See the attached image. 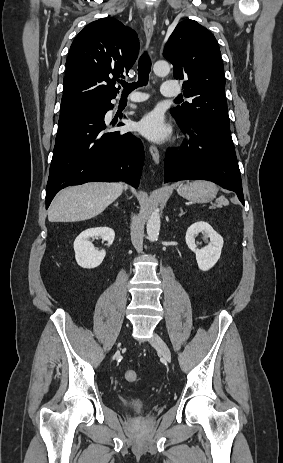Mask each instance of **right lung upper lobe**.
<instances>
[{
	"mask_svg": "<svg viewBox=\"0 0 283 463\" xmlns=\"http://www.w3.org/2000/svg\"><path fill=\"white\" fill-rule=\"evenodd\" d=\"M138 52L137 34L117 19L106 17L88 24L70 47L61 114L115 98L119 92L115 80L128 75Z\"/></svg>",
	"mask_w": 283,
	"mask_h": 463,
	"instance_id": "1",
	"label": "right lung upper lobe"
}]
</instances>
